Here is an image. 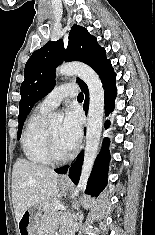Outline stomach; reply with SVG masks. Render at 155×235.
I'll return each mask as SVG.
<instances>
[{"instance_id": "obj_1", "label": "stomach", "mask_w": 155, "mask_h": 235, "mask_svg": "<svg viewBox=\"0 0 155 235\" xmlns=\"http://www.w3.org/2000/svg\"><path fill=\"white\" fill-rule=\"evenodd\" d=\"M60 186L63 192H67L70 188V184L65 182H61ZM42 210H44L43 205L40 204L26 209L21 220L18 222L20 235H37L40 233Z\"/></svg>"}]
</instances>
